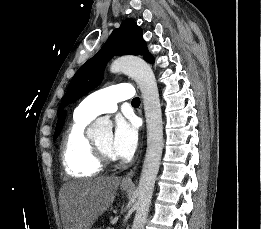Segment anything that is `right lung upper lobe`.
Masks as SVG:
<instances>
[{"label":"right lung upper lobe","instance_id":"cb5924a9","mask_svg":"<svg viewBox=\"0 0 261 229\" xmlns=\"http://www.w3.org/2000/svg\"><path fill=\"white\" fill-rule=\"evenodd\" d=\"M64 119H65V112H63L62 115H61V117L59 118V120H58V122H57V126H58V125H63Z\"/></svg>","mask_w":261,"mask_h":229}]
</instances>
